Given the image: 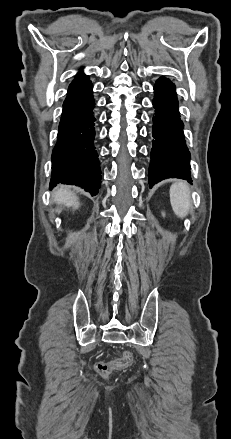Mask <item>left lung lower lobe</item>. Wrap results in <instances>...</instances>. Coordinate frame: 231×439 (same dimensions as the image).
<instances>
[{"label":"left lung lower lobe","instance_id":"obj_1","mask_svg":"<svg viewBox=\"0 0 231 439\" xmlns=\"http://www.w3.org/2000/svg\"><path fill=\"white\" fill-rule=\"evenodd\" d=\"M154 91L149 187L174 177L191 182L190 153L184 139L175 85L162 77L156 81Z\"/></svg>","mask_w":231,"mask_h":439}]
</instances>
